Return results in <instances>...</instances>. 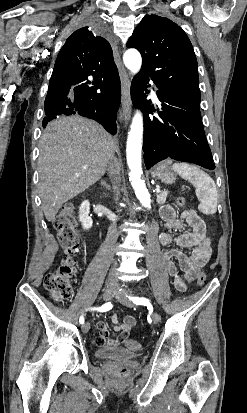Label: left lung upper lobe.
I'll return each mask as SVG.
<instances>
[{
    "label": "left lung upper lobe",
    "mask_w": 247,
    "mask_h": 413,
    "mask_svg": "<svg viewBox=\"0 0 247 413\" xmlns=\"http://www.w3.org/2000/svg\"><path fill=\"white\" fill-rule=\"evenodd\" d=\"M142 55L139 73L169 90L200 103L198 64L186 33L168 18L145 15L127 42Z\"/></svg>",
    "instance_id": "1"
}]
</instances>
